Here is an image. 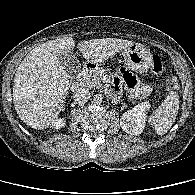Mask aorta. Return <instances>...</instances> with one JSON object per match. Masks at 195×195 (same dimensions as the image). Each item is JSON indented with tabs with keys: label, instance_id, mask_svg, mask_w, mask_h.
<instances>
[{
	"label": "aorta",
	"instance_id": "762f6f07",
	"mask_svg": "<svg viewBox=\"0 0 195 195\" xmlns=\"http://www.w3.org/2000/svg\"><path fill=\"white\" fill-rule=\"evenodd\" d=\"M102 100H103L102 94H96V95H94V97H93V101H94L95 103H101Z\"/></svg>",
	"mask_w": 195,
	"mask_h": 195
}]
</instances>
